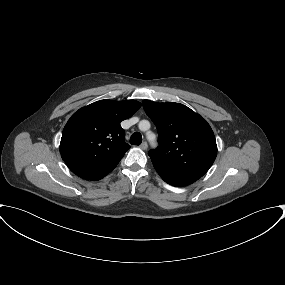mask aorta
Instances as JSON below:
<instances>
[{
	"label": "aorta",
	"instance_id": "aorta-1",
	"mask_svg": "<svg viewBox=\"0 0 285 285\" xmlns=\"http://www.w3.org/2000/svg\"><path fill=\"white\" fill-rule=\"evenodd\" d=\"M149 125H150V123L148 121L143 120V121L140 122L139 127H140V129H143L144 126H149ZM147 138L151 142L154 141V139L151 137V134H148Z\"/></svg>",
	"mask_w": 285,
	"mask_h": 285
}]
</instances>
